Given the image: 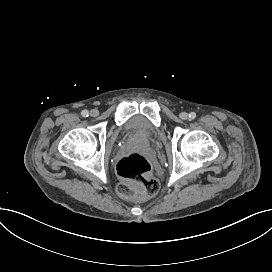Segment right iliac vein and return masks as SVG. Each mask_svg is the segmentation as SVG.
Wrapping results in <instances>:
<instances>
[{
  "label": "right iliac vein",
  "mask_w": 272,
  "mask_h": 272,
  "mask_svg": "<svg viewBox=\"0 0 272 272\" xmlns=\"http://www.w3.org/2000/svg\"><path fill=\"white\" fill-rule=\"evenodd\" d=\"M99 114V111L97 110V109H92L91 111H90V115L91 116H97Z\"/></svg>",
  "instance_id": "1"
}]
</instances>
